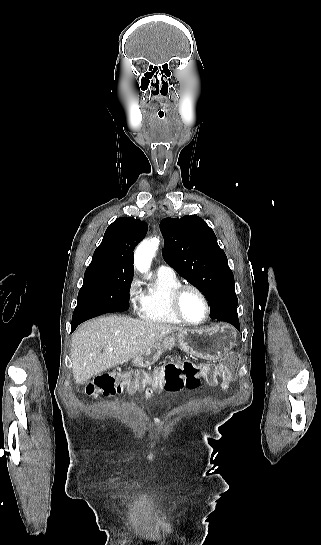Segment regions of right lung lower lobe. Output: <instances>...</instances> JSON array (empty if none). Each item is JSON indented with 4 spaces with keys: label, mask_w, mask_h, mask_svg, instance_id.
<instances>
[{
    "label": "right lung lower lobe",
    "mask_w": 321,
    "mask_h": 545,
    "mask_svg": "<svg viewBox=\"0 0 321 545\" xmlns=\"http://www.w3.org/2000/svg\"><path fill=\"white\" fill-rule=\"evenodd\" d=\"M129 308V295L128 296H122L120 298H118L116 301H114L113 303H111L109 309H108V313L109 312H122V311H126L127 309ZM90 318L88 317H85V318H81V319H78V320H72V331H74L76 329V327L84 322L85 320H88Z\"/></svg>",
    "instance_id": "obj_1"
}]
</instances>
